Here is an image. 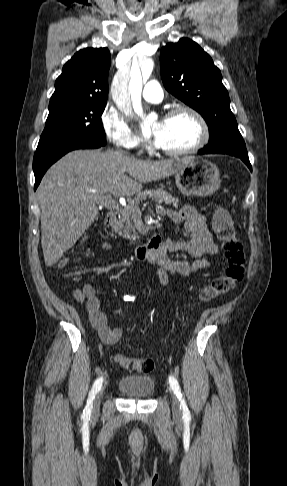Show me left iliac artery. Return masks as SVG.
<instances>
[{
  "label": "left iliac artery",
  "mask_w": 287,
  "mask_h": 486,
  "mask_svg": "<svg viewBox=\"0 0 287 486\" xmlns=\"http://www.w3.org/2000/svg\"><path fill=\"white\" fill-rule=\"evenodd\" d=\"M129 300H132V298H130ZM169 384H170V388L174 391V393L176 394V396L180 400L181 408H182V411H183V416L185 418H188L190 416V412L188 410V407L186 405L185 400L182 397L181 389H180V386H179L177 379L174 376H170L169 377Z\"/></svg>",
  "instance_id": "44dca946"
}]
</instances>
